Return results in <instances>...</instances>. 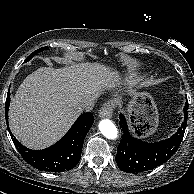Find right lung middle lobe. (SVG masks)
<instances>
[{
  "label": "right lung middle lobe",
  "instance_id": "dd1d6c3e",
  "mask_svg": "<svg viewBox=\"0 0 194 194\" xmlns=\"http://www.w3.org/2000/svg\"><path fill=\"white\" fill-rule=\"evenodd\" d=\"M44 49H47V47H42V48H40V49L34 51L32 54H30V55L28 56V58L25 60V62L29 61L34 55H36L38 52L43 51Z\"/></svg>",
  "mask_w": 194,
  "mask_h": 194
}]
</instances>
